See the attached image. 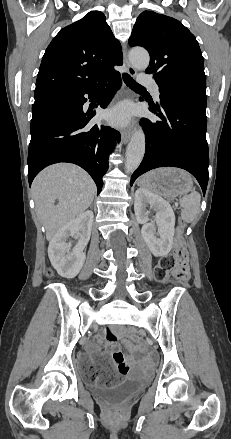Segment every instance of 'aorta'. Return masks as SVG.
Masks as SVG:
<instances>
[{
    "label": "aorta",
    "instance_id": "762f6f07",
    "mask_svg": "<svg viewBox=\"0 0 231 439\" xmlns=\"http://www.w3.org/2000/svg\"><path fill=\"white\" fill-rule=\"evenodd\" d=\"M129 60L138 70H145L150 62L148 52L142 48H134L129 52ZM145 153V134L141 128L135 129L126 150L125 169L134 172L142 162Z\"/></svg>",
    "mask_w": 231,
    "mask_h": 439
}]
</instances>
